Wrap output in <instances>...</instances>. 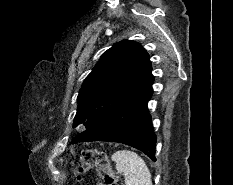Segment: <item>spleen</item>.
<instances>
[{
  "label": "spleen",
  "mask_w": 233,
  "mask_h": 185,
  "mask_svg": "<svg viewBox=\"0 0 233 185\" xmlns=\"http://www.w3.org/2000/svg\"><path fill=\"white\" fill-rule=\"evenodd\" d=\"M111 159L116 163L117 172L124 174L126 185H152L151 173L137 153L119 150L111 156Z\"/></svg>",
  "instance_id": "obj_1"
}]
</instances>
